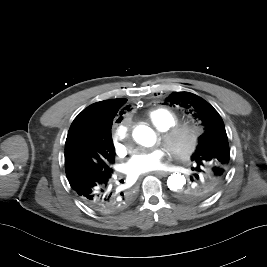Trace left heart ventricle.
Wrapping results in <instances>:
<instances>
[{"instance_id":"1","label":"left heart ventricle","mask_w":267,"mask_h":267,"mask_svg":"<svg viewBox=\"0 0 267 267\" xmlns=\"http://www.w3.org/2000/svg\"><path fill=\"white\" fill-rule=\"evenodd\" d=\"M181 142L183 143L184 142V139H181Z\"/></svg>"}]
</instances>
